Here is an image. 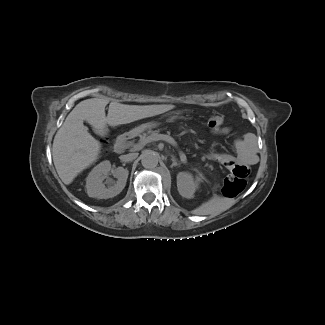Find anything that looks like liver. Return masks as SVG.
Returning <instances> with one entry per match:
<instances>
[{
  "label": "liver",
  "instance_id": "1",
  "mask_svg": "<svg viewBox=\"0 0 325 325\" xmlns=\"http://www.w3.org/2000/svg\"><path fill=\"white\" fill-rule=\"evenodd\" d=\"M109 103L105 98H91L78 103L68 114L63 125L57 131L52 148L56 171L66 185L84 169L93 164L101 152V144L84 125L88 122L99 135H106L107 125L118 126L143 118L165 113L175 106L162 105H125L111 102L108 114L105 107Z\"/></svg>",
  "mask_w": 325,
  "mask_h": 325
}]
</instances>
